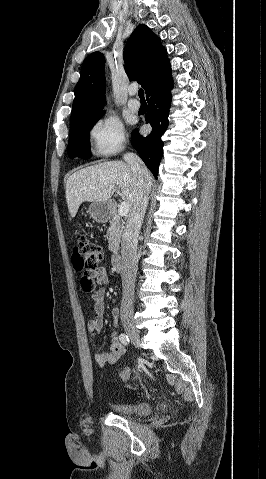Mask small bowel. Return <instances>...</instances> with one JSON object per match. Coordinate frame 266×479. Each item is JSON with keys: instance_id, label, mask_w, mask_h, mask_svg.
Masks as SVG:
<instances>
[{"instance_id": "c3829d8e", "label": "small bowel", "mask_w": 266, "mask_h": 479, "mask_svg": "<svg viewBox=\"0 0 266 479\" xmlns=\"http://www.w3.org/2000/svg\"><path fill=\"white\" fill-rule=\"evenodd\" d=\"M90 277L96 287L92 292L94 314L89 320L87 327L90 334L95 337L103 329L106 295L104 286L111 284V278L109 277L106 269L103 267H98L92 271L90 273ZM119 313V308L115 307L112 309L111 314L114 321L117 320ZM111 337L112 342L110 344V351L97 352L94 355L96 363L101 367L108 364H116L127 352L126 347L120 343L116 332H113Z\"/></svg>"}]
</instances>
